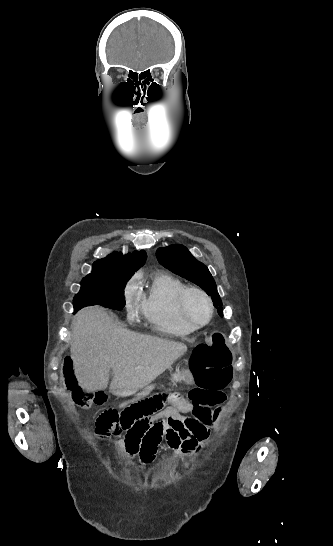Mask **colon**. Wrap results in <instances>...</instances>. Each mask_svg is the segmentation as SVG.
Instances as JSON below:
<instances>
[{"label": "colon", "instance_id": "1", "mask_svg": "<svg viewBox=\"0 0 333 546\" xmlns=\"http://www.w3.org/2000/svg\"><path fill=\"white\" fill-rule=\"evenodd\" d=\"M231 360V350L221 334H214L208 342L198 344L191 358L194 381L198 389L190 392L189 399L192 402H207L208 400L201 395L203 391L225 388L232 378ZM64 374L72 398L80 407L88 408L93 403L101 404L105 401V395L101 393L91 394L89 390H80L82 387L77 384L75 362L72 357L65 359ZM169 402L179 406L183 404L178 395L166 392L128 400L122 411L108 409L98 417L96 433L102 439L117 438L122 434L126 436L129 418L144 422L146 418H153ZM156 435L159 439L161 435L159 430L156 431Z\"/></svg>", "mask_w": 333, "mask_h": 546}]
</instances>
